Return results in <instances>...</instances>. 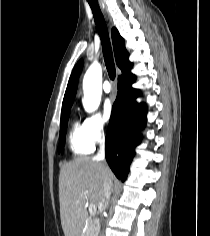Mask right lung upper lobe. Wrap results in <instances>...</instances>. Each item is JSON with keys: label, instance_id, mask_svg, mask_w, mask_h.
Segmentation results:
<instances>
[{"label": "right lung upper lobe", "instance_id": "cb5924a9", "mask_svg": "<svg viewBox=\"0 0 210 236\" xmlns=\"http://www.w3.org/2000/svg\"><path fill=\"white\" fill-rule=\"evenodd\" d=\"M113 48L115 59L118 67L122 70V74L129 71L132 67V64L128 60V53L125 49V43L123 38L119 35V32L116 28H113L111 31ZM83 61L80 60L73 69V72L70 76L68 86L65 92V96L62 104V112L70 110V107L73 103L74 96L77 90L78 76L80 74Z\"/></svg>", "mask_w": 210, "mask_h": 236}]
</instances>
